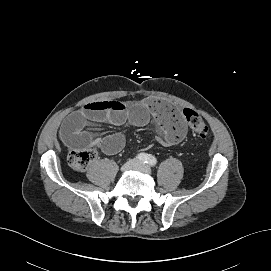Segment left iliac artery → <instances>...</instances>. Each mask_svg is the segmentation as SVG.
<instances>
[{"label":"left iliac artery","mask_w":271,"mask_h":271,"mask_svg":"<svg viewBox=\"0 0 271 271\" xmlns=\"http://www.w3.org/2000/svg\"><path fill=\"white\" fill-rule=\"evenodd\" d=\"M146 163L150 166H155L157 163V159L154 156L150 155Z\"/></svg>","instance_id":"1"}]
</instances>
